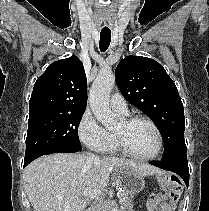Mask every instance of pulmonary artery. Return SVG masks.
I'll return each mask as SVG.
<instances>
[{
    "mask_svg": "<svg viewBox=\"0 0 209 211\" xmlns=\"http://www.w3.org/2000/svg\"><path fill=\"white\" fill-rule=\"evenodd\" d=\"M111 108L121 114H127L128 108L125 99L119 93H115L110 99Z\"/></svg>",
    "mask_w": 209,
    "mask_h": 211,
    "instance_id": "1",
    "label": "pulmonary artery"
}]
</instances>
